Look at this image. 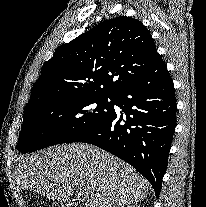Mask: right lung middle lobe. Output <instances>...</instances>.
<instances>
[{
    "label": "right lung middle lobe",
    "instance_id": "right-lung-middle-lobe-1",
    "mask_svg": "<svg viewBox=\"0 0 206 207\" xmlns=\"http://www.w3.org/2000/svg\"><path fill=\"white\" fill-rule=\"evenodd\" d=\"M114 101V95L79 97L45 102L24 111L17 150L33 152L76 141L114 112Z\"/></svg>",
    "mask_w": 206,
    "mask_h": 207
}]
</instances>
